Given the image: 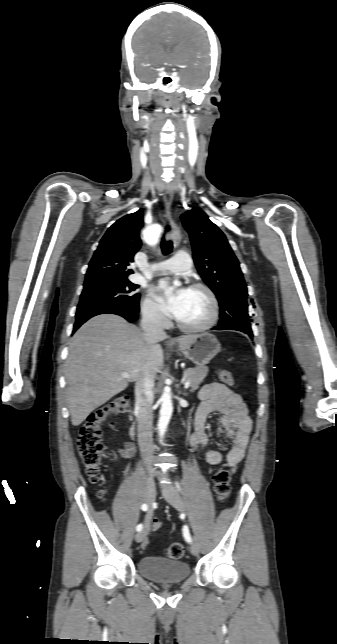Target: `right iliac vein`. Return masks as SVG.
<instances>
[{"mask_svg": "<svg viewBox=\"0 0 337 644\" xmlns=\"http://www.w3.org/2000/svg\"><path fill=\"white\" fill-rule=\"evenodd\" d=\"M155 497H156V490H155L154 481L153 479H148L145 487V492H144V500L149 506H151L155 500ZM147 533H148V529L146 527L142 531L137 533L135 535L136 542L143 541Z\"/></svg>", "mask_w": 337, "mask_h": 644, "instance_id": "obj_1", "label": "right iliac vein"}]
</instances>
